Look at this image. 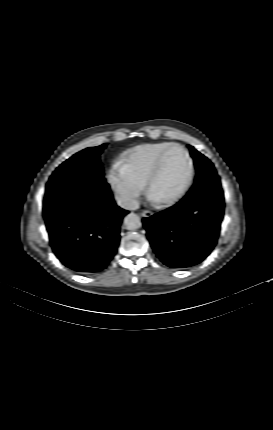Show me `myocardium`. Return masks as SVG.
<instances>
[{"label":"myocardium","instance_id":"myocardium-1","mask_svg":"<svg viewBox=\"0 0 273 430\" xmlns=\"http://www.w3.org/2000/svg\"><path fill=\"white\" fill-rule=\"evenodd\" d=\"M173 149H180L187 161H188V173L186 176V179L184 181V183L182 184V186L180 187V189L170 198H167L165 200H154L151 196V189L152 186L155 182V180L157 179L158 175L160 174L161 168H162V164L164 161L165 156L167 155V153ZM194 178V162L193 159L191 157V155L189 154V152L187 151V149L185 147H183L180 144H176L173 143L171 145H169L168 147H166L164 150L161 151V153L159 154V156L157 157V160L146 180L145 186H146V192L148 194V196L158 205L160 206H171L175 203H177L188 191V189L190 188L192 181Z\"/></svg>","mask_w":273,"mask_h":430}]
</instances>
